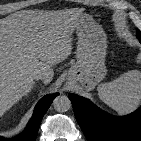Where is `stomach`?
Returning <instances> with one entry per match:
<instances>
[{"instance_id": "stomach-1", "label": "stomach", "mask_w": 141, "mask_h": 141, "mask_svg": "<svg viewBox=\"0 0 141 141\" xmlns=\"http://www.w3.org/2000/svg\"><path fill=\"white\" fill-rule=\"evenodd\" d=\"M75 32L78 37L76 62L69 69L67 78L90 91L106 76V36L102 28L84 14Z\"/></svg>"}]
</instances>
